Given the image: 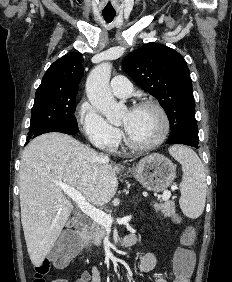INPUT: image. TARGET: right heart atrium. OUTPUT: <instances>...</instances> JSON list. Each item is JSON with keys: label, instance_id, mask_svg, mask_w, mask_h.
I'll list each match as a JSON object with an SVG mask.
<instances>
[{"label": "right heart atrium", "instance_id": "1", "mask_svg": "<svg viewBox=\"0 0 232 282\" xmlns=\"http://www.w3.org/2000/svg\"><path fill=\"white\" fill-rule=\"evenodd\" d=\"M77 119L86 138L96 147L114 151L120 141L119 129L112 126L88 101H82L77 109Z\"/></svg>", "mask_w": 232, "mask_h": 282}]
</instances>
